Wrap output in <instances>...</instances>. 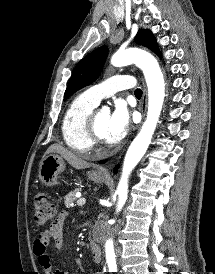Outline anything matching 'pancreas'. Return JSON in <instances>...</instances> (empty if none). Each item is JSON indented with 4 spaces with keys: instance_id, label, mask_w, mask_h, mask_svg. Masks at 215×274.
<instances>
[{
    "instance_id": "obj_1",
    "label": "pancreas",
    "mask_w": 215,
    "mask_h": 274,
    "mask_svg": "<svg viewBox=\"0 0 215 274\" xmlns=\"http://www.w3.org/2000/svg\"><path fill=\"white\" fill-rule=\"evenodd\" d=\"M81 189L77 188L74 191H71L68 195L65 197V205L66 207H72L73 202L76 201L75 194L80 191Z\"/></svg>"
}]
</instances>
